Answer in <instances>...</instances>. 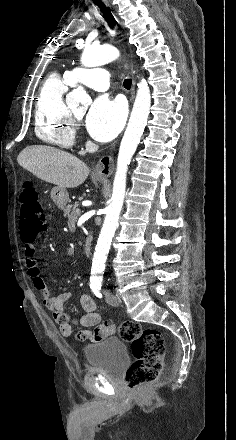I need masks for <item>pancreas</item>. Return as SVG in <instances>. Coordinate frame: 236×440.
<instances>
[{"instance_id": "pancreas-1", "label": "pancreas", "mask_w": 236, "mask_h": 440, "mask_svg": "<svg viewBox=\"0 0 236 440\" xmlns=\"http://www.w3.org/2000/svg\"><path fill=\"white\" fill-rule=\"evenodd\" d=\"M77 207L78 204L66 206L64 209V217L68 219H76L78 217V215L76 214Z\"/></svg>"}]
</instances>
